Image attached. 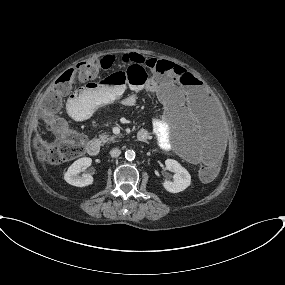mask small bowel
Listing matches in <instances>:
<instances>
[{
  "label": "small bowel",
  "instance_id": "obj_1",
  "mask_svg": "<svg viewBox=\"0 0 285 285\" xmlns=\"http://www.w3.org/2000/svg\"><path fill=\"white\" fill-rule=\"evenodd\" d=\"M131 56V57H130ZM126 60L141 62L147 60L141 55H127ZM157 60V59H156ZM164 85L174 84L173 76L160 77ZM178 80H176L177 82ZM147 90L161 95V90L155 80H150L144 86H125L116 83H100L91 81L70 94L66 109L72 116H83L89 109L110 102L120 101L124 106L131 107L136 103V93ZM197 94L191 89L190 98L186 95L179 97L161 96V103L166 113V118L156 120L152 132L157 144L162 148L171 146L172 137L169 124L180 125L185 119H192L194 108L192 103L197 102ZM147 133L148 140L151 133L147 129H141ZM145 140V141H146ZM187 146V158L191 162H207L215 157L224 147V141L208 122H201L192 135L183 138Z\"/></svg>",
  "mask_w": 285,
  "mask_h": 285
}]
</instances>
